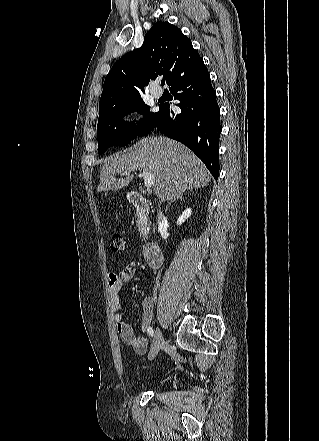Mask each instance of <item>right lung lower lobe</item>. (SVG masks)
Returning a JSON list of instances; mask_svg holds the SVG:
<instances>
[{
    "label": "right lung lower lobe",
    "instance_id": "1",
    "mask_svg": "<svg viewBox=\"0 0 319 441\" xmlns=\"http://www.w3.org/2000/svg\"><path fill=\"white\" fill-rule=\"evenodd\" d=\"M170 91L181 101L178 106L182 112L175 114L169 104H161L155 127L190 148L217 180L220 109L203 59L178 77Z\"/></svg>",
    "mask_w": 319,
    "mask_h": 441
}]
</instances>
